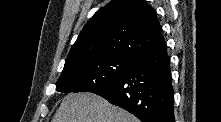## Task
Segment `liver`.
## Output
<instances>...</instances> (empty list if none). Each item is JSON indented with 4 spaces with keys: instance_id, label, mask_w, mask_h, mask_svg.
Wrapping results in <instances>:
<instances>
[{
    "instance_id": "6515ba94",
    "label": "liver",
    "mask_w": 221,
    "mask_h": 122,
    "mask_svg": "<svg viewBox=\"0 0 221 122\" xmlns=\"http://www.w3.org/2000/svg\"><path fill=\"white\" fill-rule=\"evenodd\" d=\"M52 122H138V119L106 99L85 92L65 96Z\"/></svg>"
}]
</instances>
